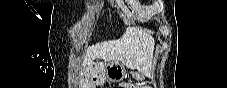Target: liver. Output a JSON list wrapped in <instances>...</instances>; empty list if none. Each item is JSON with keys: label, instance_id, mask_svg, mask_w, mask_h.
I'll return each instance as SVG.
<instances>
[{"label": "liver", "instance_id": "6515ba94", "mask_svg": "<svg viewBox=\"0 0 227 88\" xmlns=\"http://www.w3.org/2000/svg\"><path fill=\"white\" fill-rule=\"evenodd\" d=\"M154 39L146 31L128 27L121 38L97 43L87 49L83 66L90 65L100 58L105 61H120L131 69H141L151 59L154 49Z\"/></svg>", "mask_w": 227, "mask_h": 88}]
</instances>
